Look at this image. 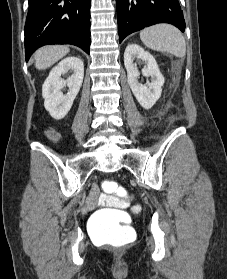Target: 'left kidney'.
I'll use <instances>...</instances> for the list:
<instances>
[{
    "instance_id": "5707ae66",
    "label": "left kidney",
    "mask_w": 227,
    "mask_h": 279,
    "mask_svg": "<svg viewBox=\"0 0 227 279\" xmlns=\"http://www.w3.org/2000/svg\"><path fill=\"white\" fill-rule=\"evenodd\" d=\"M135 58L146 63L142 69V74L145 77H151V82H148L147 85L138 81L139 71L133 63ZM124 65L127 70L128 83L134 96L144 109H150L160 98L164 84V77L155 58L139 45L129 44L124 53Z\"/></svg>"
}]
</instances>
